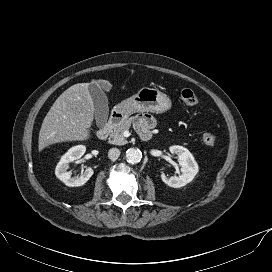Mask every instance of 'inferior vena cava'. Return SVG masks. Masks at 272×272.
Wrapping results in <instances>:
<instances>
[{"label":"inferior vena cava","instance_id":"obj_1","mask_svg":"<svg viewBox=\"0 0 272 272\" xmlns=\"http://www.w3.org/2000/svg\"><path fill=\"white\" fill-rule=\"evenodd\" d=\"M120 155V150L118 148H111L109 151H108V157L111 159V160H115L119 157Z\"/></svg>","mask_w":272,"mask_h":272}]
</instances>
